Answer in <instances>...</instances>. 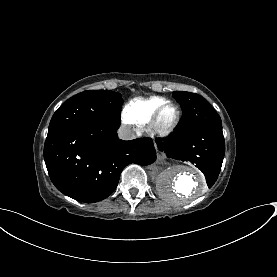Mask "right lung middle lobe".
I'll use <instances>...</instances> for the list:
<instances>
[{
  "label": "right lung middle lobe",
  "mask_w": 277,
  "mask_h": 277,
  "mask_svg": "<svg viewBox=\"0 0 277 277\" xmlns=\"http://www.w3.org/2000/svg\"><path fill=\"white\" fill-rule=\"evenodd\" d=\"M121 94L110 90L81 92L63 103L54 113L48 135L66 128L92 123H120Z\"/></svg>",
  "instance_id": "right-lung-middle-lobe-1"
}]
</instances>
